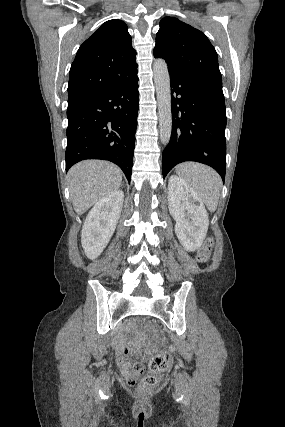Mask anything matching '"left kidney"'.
I'll return each mask as SVG.
<instances>
[{
  "mask_svg": "<svg viewBox=\"0 0 285 427\" xmlns=\"http://www.w3.org/2000/svg\"><path fill=\"white\" fill-rule=\"evenodd\" d=\"M169 212L176 221L175 233L187 251L197 250L209 226L208 214L198 194L176 175L168 181Z\"/></svg>",
  "mask_w": 285,
  "mask_h": 427,
  "instance_id": "5707ae66",
  "label": "left kidney"
}]
</instances>
